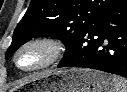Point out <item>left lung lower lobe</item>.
Returning a JSON list of instances; mask_svg holds the SVG:
<instances>
[{"label": "left lung lower lobe", "instance_id": "obj_1", "mask_svg": "<svg viewBox=\"0 0 127 92\" xmlns=\"http://www.w3.org/2000/svg\"><path fill=\"white\" fill-rule=\"evenodd\" d=\"M57 67L91 68L127 78V0L87 28Z\"/></svg>", "mask_w": 127, "mask_h": 92}]
</instances>
